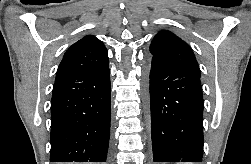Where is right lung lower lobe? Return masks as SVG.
Listing matches in <instances>:
<instances>
[{"label":"right lung lower lobe","mask_w":251,"mask_h":164,"mask_svg":"<svg viewBox=\"0 0 251 164\" xmlns=\"http://www.w3.org/2000/svg\"><path fill=\"white\" fill-rule=\"evenodd\" d=\"M108 64L55 81L51 162L107 161L111 114Z\"/></svg>","instance_id":"obj_1"}]
</instances>
